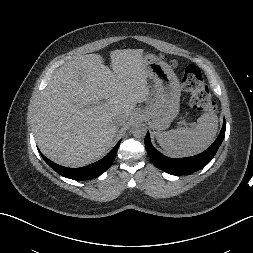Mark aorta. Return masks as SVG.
<instances>
[{
	"instance_id": "1",
	"label": "aorta",
	"mask_w": 253,
	"mask_h": 253,
	"mask_svg": "<svg viewBox=\"0 0 253 253\" xmlns=\"http://www.w3.org/2000/svg\"><path fill=\"white\" fill-rule=\"evenodd\" d=\"M147 126L143 122H136L132 126V134L137 138H143L146 136Z\"/></svg>"
}]
</instances>
